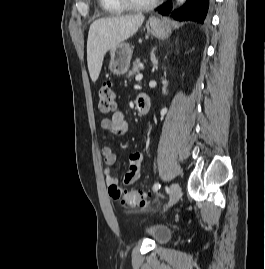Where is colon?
I'll return each instance as SVG.
<instances>
[{"label":"colon","mask_w":265,"mask_h":269,"mask_svg":"<svg viewBox=\"0 0 265 269\" xmlns=\"http://www.w3.org/2000/svg\"><path fill=\"white\" fill-rule=\"evenodd\" d=\"M98 108L101 114L108 115L116 109V96L111 82H104L98 91ZM111 196L121 200L127 206H145L148 194L142 190L135 189L123 192L118 186L109 189Z\"/></svg>","instance_id":"colon-1"}]
</instances>
